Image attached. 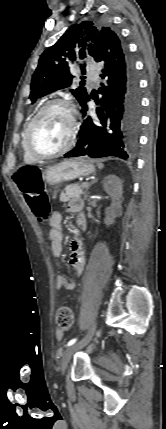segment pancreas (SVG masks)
Returning <instances> with one entry per match:
<instances>
[{
  "mask_svg": "<svg viewBox=\"0 0 166 429\" xmlns=\"http://www.w3.org/2000/svg\"><path fill=\"white\" fill-rule=\"evenodd\" d=\"M86 186H81L79 184H72L65 187L64 192L60 195V201L61 202H67L71 198L80 196L83 194V189Z\"/></svg>",
  "mask_w": 166,
  "mask_h": 429,
  "instance_id": "obj_1",
  "label": "pancreas"
}]
</instances>
